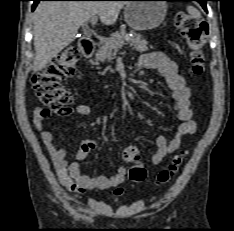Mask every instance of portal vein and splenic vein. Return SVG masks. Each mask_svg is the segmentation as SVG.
I'll list each match as a JSON object with an SVG mask.
<instances>
[{
  "label": "portal vein and splenic vein",
  "instance_id": "1",
  "mask_svg": "<svg viewBox=\"0 0 234 231\" xmlns=\"http://www.w3.org/2000/svg\"><path fill=\"white\" fill-rule=\"evenodd\" d=\"M96 23H97V17L96 16L91 17V24L94 26L96 25Z\"/></svg>",
  "mask_w": 234,
  "mask_h": 231
}]
</instances>
